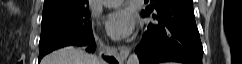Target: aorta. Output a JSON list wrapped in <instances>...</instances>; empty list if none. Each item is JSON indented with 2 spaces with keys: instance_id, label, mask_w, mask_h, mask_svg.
I'll list each match as a JSON object with an SVG mask.
<instances>
[{
  "instance_id": "aorta-1",
  "label": "aorta",
  "mask_w": 242,
  "mask_h": 64,
  "mask_svg": "<svg viewBox=\"0 0 242 64\" xmlns=\"http://www.w3.org/2000/svg\"><path fill=\"white\" fill-rule=\"evenodd\" d=\"M126 64H139V58L137 54L133 53L128 57Z\"/></svg>"
}]
</instances>
